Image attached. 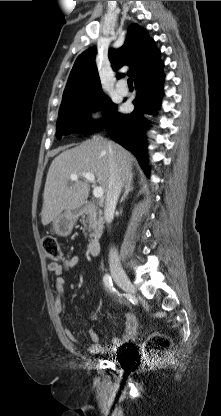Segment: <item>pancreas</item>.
<instances>
[{"label":"pancreas","instance_id":"cf45deb5","mask_svg":"<svg viewBox=\"0 0 221 416\" xmlns=\"http://www.w3.org/2000/svg\"><path fill=\"white\" fill-rule=\"evenodd\" d=\"M82 218L84 227L87 228L88 223V231L92 232L90 237L101 235L104 219L100 210L97 211L94 207H89L83 211Z\"/></svg>","mask_w":221,"mask_h":416}]
</instances>
